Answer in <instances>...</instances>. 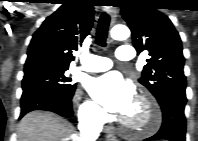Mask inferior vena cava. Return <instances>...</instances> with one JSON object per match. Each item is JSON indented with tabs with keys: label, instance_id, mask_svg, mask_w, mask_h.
Returning a JSON list of instances; mask_svg holds the SVG:
<instances>
[{
	"label": "inferior vena cava",
	"instance_id": "obj_1",
	"mask_svg": "<svg viewBox=\"0 0 198 141\" xmlns=\"http://www.w3.org/2000/svg\"><path fill=\"white\" fill-rule=\"evenodd\" d=\"M103 119L97 114L93 113L90 117L85 118L79 125L82 141H95L102 129Z\"/></svg>",
	"mask_w": 198,
	"mask_h": 141
}]
</instances>
